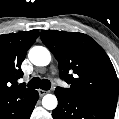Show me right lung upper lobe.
<instances>
[{"label": "right lung upper lobe", "mask_w": 119, "mask_h": 119, "mask_svg": "<svg viewBox=\"0 0 119 119\" xmlns=\"http://www.w3.org/2000/svg\"><path fill=\"white\" fill-rule=\"evenodd\" d=\"M38 35L37 30L0 35V102L32 90L18 85L17 79L23 77L21 63Z\"/></svg>", "instance_id": "obj_1"}]
</instances>
